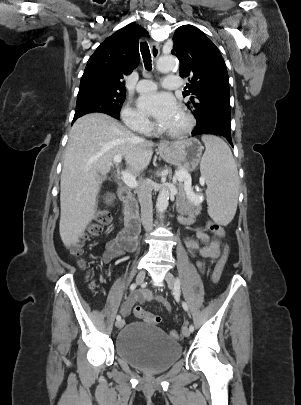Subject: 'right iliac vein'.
<instances>
[{"label": "right iliac vein", "instance_id": "63e3f726", "mask_svg": "<svg viewBox=\"0 0 301 405\" xmlns=\"http://www.w3.org/2000/svg\"><path fill=\"white\" fill-rule=\"evenodd\" d=\"M144 279H145V271L141 270L140 272H138V274L136 276V282L138 284H141L144 281ZM124 324H125L124 319H120V320L116 321L115 326L117 328H121V327H123Z\"/></svg>", "mask_w": 301, "mask_h": 405}]
</instances>
